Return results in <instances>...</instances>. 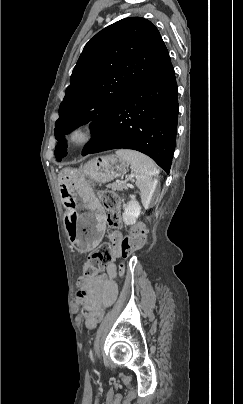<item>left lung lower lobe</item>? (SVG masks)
<instances>
[{
  "instance_id": "obj_1",
  "label": "left lung lower lobe",
  "mask_w": 243,
  "mask_h": 404,
  "mask_svg": "<svg viewBox=\"0 0 243 404\" xmlns=\"http://www.w3.org/2000/svg\"><path fill=\"white\" fill-rule=\"evenodd\" d=\"M178 91L170 57L137 84L101 123L82 155L133 149L169 173L175 149Z\"/></svg>"
}]
</instances>
